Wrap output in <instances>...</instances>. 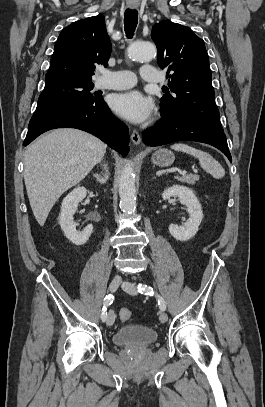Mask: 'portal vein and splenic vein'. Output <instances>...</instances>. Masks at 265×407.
I'll list each match as a JSON object with an SVG mask.
<instances>
[{"label": "portal vein and splenic vein", "mask_w": 265, "mask_h": 407, "mask_svg": "<svg viewBox=\"0 0 265 407\" xmlns=\"http://www.w3.org/2000/svg\"><path fill=\"white\" fill-rule=\"evenodd\" d=\"M181 174H186V171H179Z\"/></svg>", "instance_id": "portal-vein-and-splenic-vein-1"}]
</instances>
